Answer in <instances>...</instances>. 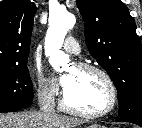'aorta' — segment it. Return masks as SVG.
Here are the masks:
<instances>
[{"label":"aorta","instance_id":"1","mask_svg":"<svg viewBox=\"0 0 142 128\" xmlns=\"http://www.w3.org/2000/svg\"><path fill=\"white\" fill-rule=\"evenodd\" d=\"M75 16L66 10H59L49 16V28L45 37V54L49 56V63L56 71L65 69L69 57L60 49L67 32L75 25Z\"/></svg>","mask_w":142,"mask_h":128}]
</instances>
